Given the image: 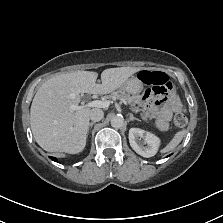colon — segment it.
Listing matches in <instances>:
<instances>
[{
    "label": "colon",
    "mask_w": 223,
    "mask_h": 223,
    "mask_svg": "<svg viewBox=\"0 0 223 223\" xmlns=\"http://www.w3.org/2000/svg\"><path fill=\"white\" fill-rule=\"evenodd\" d=\"M138 78L147 85L161 86V85H172L169 77L163 72L157 71H142L138 74ZM175 127L181 129L187 124V118L182 112H178L173 119Z\"/></svg>",
    "instance_id": "obj_1"
}]
</instances>
